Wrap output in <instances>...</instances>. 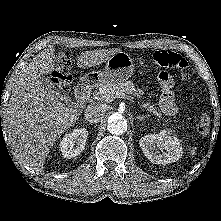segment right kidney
<instances>
[{
  "label": "right kidney",
  "mask_w": 221,
  "mask_h": 221,
  "mask_svg": "<svg viewBox=\"0 0 221 221\" xmlns=\"http://www.w3.org/2000/svg\"><path fill=\"white\" fill-rule=\"evenodd\" d=\"M89 133L85 128L74 129L60 140L59 148L64 158L70 159L79 155L85 147Z\"/></svg>",
  "instance_id": "right-kidney-1"
}]
</instances>
